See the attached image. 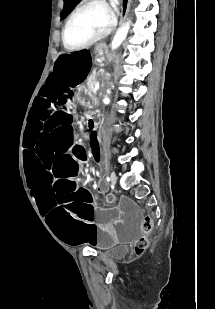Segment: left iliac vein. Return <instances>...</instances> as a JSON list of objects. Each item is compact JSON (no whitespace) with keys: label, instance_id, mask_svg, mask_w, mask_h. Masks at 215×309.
I'll return each mask as SVG.
<instances>
[{"label":"left iliac vein","instance_id":"left-iliac-vein-1","mask_svg":"<svg viewBox=\"0 0 215 309\" xmlns=\"http://www.w3.org/2000/svg\"><path fill=\"white\" fill-rule=\"evenodd\" d=\"M110 181H111V184L114 186L115 184H116V182H117V177H116V175H115V173L114 172H112L111 174H110Z\"/></svg>","mask_w":215,"mask_h":309}]
</instances>
